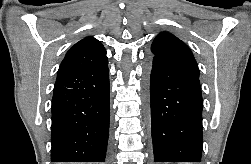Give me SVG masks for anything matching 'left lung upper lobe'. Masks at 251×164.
Listing matches in <instances>:
<instances>
[{
    "mask_svg": "<svg viewBox=\"0 0 251 164\" xmlns=\"http://www.w3.org/2000/svg\"><path fill=\"white\" fill-rule=\"evenodd\" d=\"M151 58L165 60L199 74L189 47L171 33L163 32L156 36L151 46Z\"/></svg>",
    "mask_w": 251,
    "mask_h": 164,
    "instance_id": "5c2ea615",
    "label": "left lung upper lobe"
}]
</instances>
